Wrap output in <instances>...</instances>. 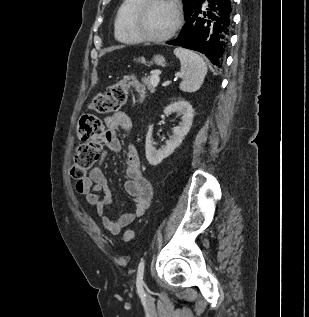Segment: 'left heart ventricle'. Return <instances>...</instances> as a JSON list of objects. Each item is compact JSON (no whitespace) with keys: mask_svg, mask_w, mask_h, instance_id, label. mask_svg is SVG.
Masks as SVG:
<instances>
[{"mask_svg":"<svg viewBox=\"0 0 309 317\" xmlns=\"http://www.w3.org/2000/svg\"><path fill=\"white\" fill-rule=\"evenodd\" d=\"M176 21L173 7L167 3H156L145 13L140 27L151 36H161L171 30Z\"/></svg>","mask_w":309,"mask_h":317,"instance_id":"1","label":"left heart ventricle"}]
</instances>
